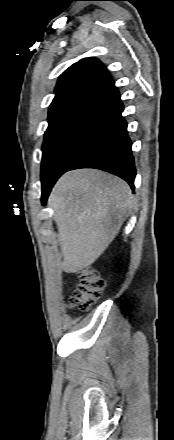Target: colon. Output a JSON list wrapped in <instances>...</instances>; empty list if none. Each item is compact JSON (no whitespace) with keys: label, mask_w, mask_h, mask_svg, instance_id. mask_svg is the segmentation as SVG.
Wrapping results in <instances>:
<instances>
[{"label":"colon","mask_w":174,"mask_h":440,"mask_svg":"<svg viewBox=\"0 0 174 440\" xmlns=\"http://www.w3.org/2000/svg\"><path fill=\"white\" fill-rule=\"evenodd\" d=\"M79 283L70 299V307L88 310L91 304L100 298L104 281L93 267H85L77 271Z\"/></svg>","instance_id":"1"}]
</instances>
